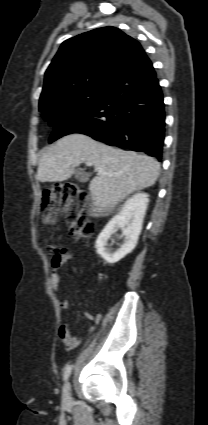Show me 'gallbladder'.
Segmentation results:
<instances>
[{
	"label": "gallbladder",
	"mask_w": 208,
	"mask_h": 425,
	"mask_svg": "<svg viewBox=\"0 0 208 425\" xmlns=\"http://www.w3.org/2000/svg\"><path fill=\"white\" fill-rule=\"evenodd\" d=\"M75 178L80 182L87 181V176L81 169L75 170Z\"/></svg>",
	"instance_id": "obj_1"
}]
</instances>
